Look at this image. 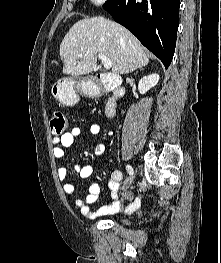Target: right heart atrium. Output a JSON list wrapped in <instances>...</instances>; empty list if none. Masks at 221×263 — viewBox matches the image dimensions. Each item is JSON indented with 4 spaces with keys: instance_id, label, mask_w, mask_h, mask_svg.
I'll use <instances>...</instances> for the list:
<instances>
[{
    "instance_id": "d8ad5b80",
    "label": "right heart atrium",
    "mask_w": 221,
    "mask_h": 263,
    "mask_svg": "<svg viewBox=\"0 0 221 263\" xmlns=\"http://www.w3.org/2000/svg\"><path fill=\"white\" fill-rule=\"evenodd\" d=\"M107 0H90V2L94 5V6H101L103 5Z\"/></svg>"
}]
</instances>
